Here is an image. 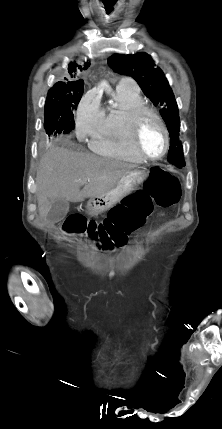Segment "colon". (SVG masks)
Segmentation results:
<instances>
[{
  "label": "colon",
  "instance_id": "obj_1",
  "mask_svg": "<svg viewBox=\"0 0 222 429\" xmlns=\"http://www.w3.org/2000/svg\"><path fill=\"white\" fill-rule=\"evenodd\" d=\"M180 197L177 177L162 168L151 167L143 188L111 208L103 221H87L82 216L74 215L66 219L64 228L71 233L89 235L104 249L118 247L145 223L154 204L168 208L176 205Z\"/></svg>",
  "mask_w": 222,
  "mask_h": 429
}]
</instances>
